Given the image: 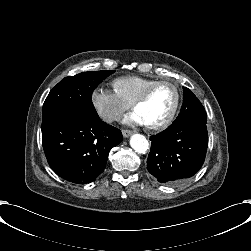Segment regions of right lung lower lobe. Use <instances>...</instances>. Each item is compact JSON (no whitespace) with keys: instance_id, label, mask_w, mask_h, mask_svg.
<instances>
[{"instance_id":"right-lung-lower-lobe-1","label":"right lung lower lobe","mask_w":251,"mask_h":251,"mask_svg":"<svg viewBox=\"0 0 251 251\" xmlns=\"http://www.w3.org/2000/svg\"><path fill=\"white\" fill-rule=\"evenodd\" d=\"M119 129L77 110L42 124L43 149L50 168L63 179L85 184L105 169L111 148L122 141Z\"/></svg>"}]
</instances>
